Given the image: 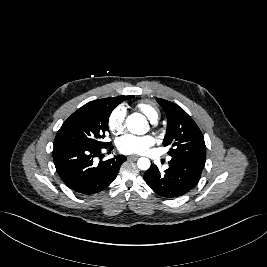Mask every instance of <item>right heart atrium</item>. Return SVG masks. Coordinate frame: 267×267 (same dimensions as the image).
Returning a JSON list of instances; mask_svg holds the SVG:
<instances>
[{"label": "right heart atrium", "mask_w": 267, "mask_h": 267, "mask_svg": "<svg viewBox=\"0 0 267 267\" xmlns=\"http://www.w3.org/2000/svg\"><path fill=\"white\" fill-rule=\"evenodd\" d=\"M126 108L122 105L115 107L108 117V127L114 134H120L125 128Z\"/></svg>", "instance_id": "d8ad5b80"}]
</instances>
